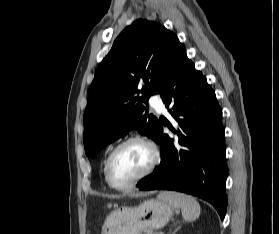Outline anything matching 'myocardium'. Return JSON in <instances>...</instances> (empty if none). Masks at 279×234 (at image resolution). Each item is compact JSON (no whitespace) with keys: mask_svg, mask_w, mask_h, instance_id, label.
<instances>
[{"mask_svg":"<svg viewBox=\"0 0 279 234\" xmlns=\"http://www.w3.org/2000/svg\"><path fill=\"white\" fill-rule=\"evenodd\" d=\"M133 142L141 143L150 150V153H151L150 163L148 164V166L145 168V170L140 175H138L136 178H134L130 182H127L125 184H116L111 179V176H110L111 162H112L114 156L116 155V153L122 147H124L130 143H133ZM159 161H160L159 150H158L157 146L151 140H149L146 137L140 136V135H132V136H129L126 139L122 140L120 143H118L114 147V149L110 152V154L108 155L106 162H105V167H104L105 179H106L107 183L109 184V186L116 190H120V191L128 190L129 188L135 186L140 181H142L143 179L148 177L153 172V170L156 168Z\"/></svg>","mask_w":279,"mask_h":234,"instance_id":"obj_1","label":"myocardium"}]
</instances>
